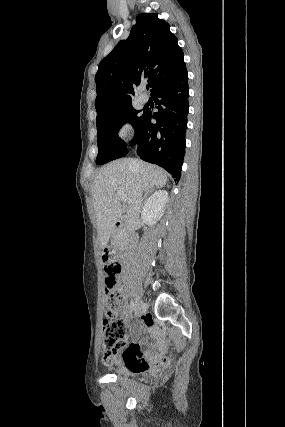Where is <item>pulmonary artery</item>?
Returning <instances> with one entry per match:
<instances>
[{
  "mask_svg": "<svg viewBox=\"0 0 285 427\" xmlns=\"http://www.w3.org/2000/svg\"><path fill=\"white\" fill-rule=\"evenodd\" d=\"M139 100L142 103H146L148 101V95L146 94V92H144V91L140 92V94H139Z\"/></svg>",
  "mask_w": 285,
  "mask_h": 427,
  "instance_id": "e3ab8cb5",
  "label": "pulmonary artery"
}]
</instances>
